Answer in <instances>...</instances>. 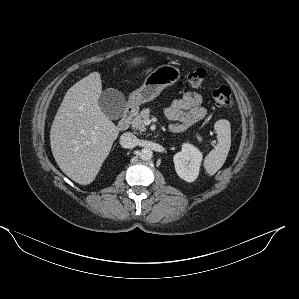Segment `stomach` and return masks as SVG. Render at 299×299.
<instances>
[{"mask_svg": "<svg viewBox=\"0 0 299 299\" xmlns=\"http://www.w3.org/2000/svg\"><path fill=\"white\" fill-rule=\"evenodd\" d=\"M180 78L181 72L177 67L170 64L158 66L146 77L142 86L130 94L131 106L138 108L155 99L163 89L176 84Z\"/></svg>", "mask_w": 299, "mask_h": 299, "instance_id": "1", "label": "stomach"}]
</instances>
